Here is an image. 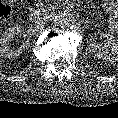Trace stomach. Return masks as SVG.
Here are the masks:
<instances>
[{
  "label": "stomach",
  "instance_id": "1",
  "mask_svg": "<svg viewBox=\"0 0 118 118\" xmlns=\"http://www.w3.org/2000/svg\"><path fill=\"white\" fill-rule=\"evenodd\" d=\"M104 2H109V1H112V0H103ZM117 1V6H118V0Z\"/></svg>",
  "mask_w": 118,
  "mask_h": 118
}]
</instances>
